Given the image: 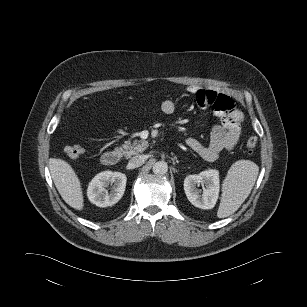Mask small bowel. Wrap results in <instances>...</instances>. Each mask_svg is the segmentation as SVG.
<instances>
[{
	"instance_id": "obj_1",
	"label": "small bowel",
	"mask_w": 307,
	"mask_h": 307,
	"mask_svg": "<svg viewBox=\"0 0 307 307\" xmlns=\"http://www.w3.org/2000/svg\"><path fill=\"white\" fill-rule=\"evenodd\" d=\"M188 92L195 94L200 106L212 109L214 115L221 119V125L216 126L208 144L198 139L188 138L186 145L207 161L216 160L223 151L232 150L242 135L243 114L234 108L231 97L214 91L199 90L194 86L188 87ZM161 110L165 114L175 111V103L165 100L161 103Z\"/></svg>"
}]
</instances>
